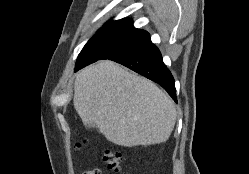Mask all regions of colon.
<instances>
[{
    "mask_svg": "<svg viewBox=\"0 0 249 174\" xmlns=\"http://www.w3.org/2000/svg\"><path fill=\"white\" fill-rule=\"evenodd\" d=\"M106 167L114 172L122 171L123 155L118 150H106L103 154Z\"/></svg>",
    "mask_w": 249,
    "mask_h": 174,
    "instance_id": "obj_1",
    "label": "colon"
}]
</instances>
